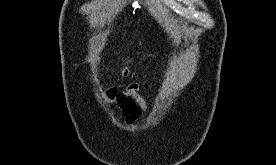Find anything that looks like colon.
<instances>
[{"label": "colon", "mask_w": 276, "mask_h": 165, "mask_svg": "<svg viewBox=\"0 0 276 165\" xmlns=\"http://www.w3.org/2000/svg\"><path fill=\"white\" fill-rule=\"evenodd\" d=\"M129 71H130V68L128 66H126L124 69V73L127 74V73H129Z\"/></svg>", "instance_id": "5ec220e1"}]
</instances>
